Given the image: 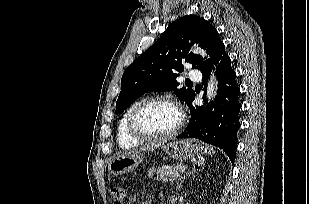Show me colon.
I'll use <instances>...</instances> for the list:
<instances>
[{"instance_id": "colon-1", "label": "colon", "mask_w": 309, "mask_h": 204, "mask_svg": "<svg viewBox=\"0 0 309 204\" xmlns=\"http://www.w3.org/2000/svg\"><path fill=\"white\" fill-rule=\"evenodd\" d=\"M110 195L113 200V204H123L126 196V188L121 185H112L110 187Z\"/></svg>"}]
</instances>
